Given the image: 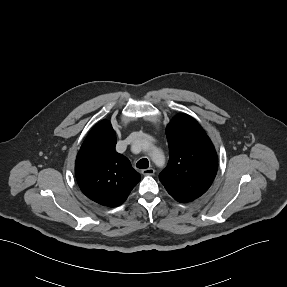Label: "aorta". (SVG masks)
Returning <instances> with one entry per match:
<instances>
[{
  "mask_svg": "<svg viewBox=\"0 0 287 287\" xmlns=\"http://www.w3.org/2000/svg\"><path fill=\"white\" fill-rule=\"evenodd\" d=\"M151 158L154 162L164 161L163 153L156 147L152 148Z\"/></svg>",
  "mask_w": 287,
  "mask_h": 287,
  "instance_id": "1",
  "label": "aorta"
}]
</instances>
